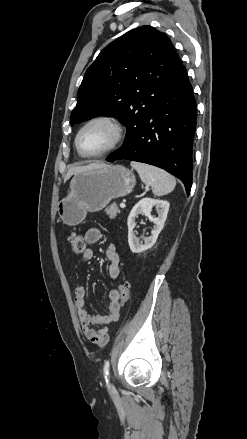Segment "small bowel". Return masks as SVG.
Wrapping results in <instances>:
<instances>
[{
  "label": "small bowel",
  "instance_id": "1",
  "mask_svg": "<svg viewBox=\"0 0 247 439\" xmlns=\"http://www.w3.org/2000/svg\"><path fill=\"white\" fill-rule=\"evenodd\" d=\"M85 243L88 245L95 244L102 238L100 229L91 227L87 229L83 235ZM108 275L112 280H117L120 275V260L116 247L111 244L107 248ZM93 257V251L89 248L81 254L80 262H87ZM109 305L108 312L105 315H90L85 309V289L78 286L74 293V304L76 307L78 319L81 325L82 332L87 340L91 343L104 346L109 341L108 325L113 324L120 316V294L117 290H111L108 294ZM97 325L100 328L94 329Z\"/></svg>",
  "mask_w": 247,
  "mask_h": 439
}]
</instances>
